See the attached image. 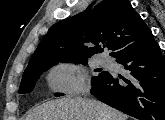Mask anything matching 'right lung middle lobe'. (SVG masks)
Wrapping results in <instances>:
<instances>
[{"label": "right lung middle lobe", "mask_w": 165, "mask_h": 120, "mask_svg": "<svg viewBox=\"0 0 165 120\" xmlns=\"http://www.w3.org/2000/svg\"><path fill=\"white\" fill-rule=\"evenodd\" d=\"M86 59L87 58H84V59H49V60H42L37 63L28 65L23 74V77H22V81H21L20 88H19V93L25 94V93L31 92L32 89L34 88L35 82L38 80L40 75L44 71L48 70L51 66L57 64L59 61L86 63ZM95 71H98L100 73L98 76L92 78V80H91L92 85H94L98 81L104 79L108 75L107 71H102L101 69H96ZM62 95L63 94H61V93L55 94V96H62Z\"/></svg>", "instance_id": "1"}]
</instances>
